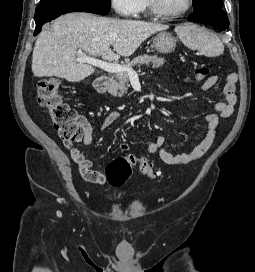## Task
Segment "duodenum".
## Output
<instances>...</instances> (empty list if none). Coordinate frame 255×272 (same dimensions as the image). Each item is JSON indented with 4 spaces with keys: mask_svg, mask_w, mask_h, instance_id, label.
Segmentation results:
<instances>
[{
    "mask_svg": "<svg viewBox=\"0 0 255 272\" xmlns=\"http://www.w3.org/2000/svg\"><path fill=\"white\" fill-rule=\"evenodd\" d=\"M112 84V78L109 76H99L95 81V88L98 93L106 95Z\"/></svg>",
    "mask_w": 255,
    "mask_h": 272,
    "instance_id": "duodenum-1",
    "label": "duodenum"
}]
</instances>
